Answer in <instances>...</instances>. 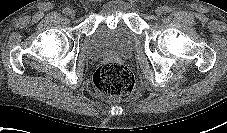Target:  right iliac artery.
Segmentation results:
<instances>
[{
  "label": "right iliac artery",
  "instance_id": "1",
  "mask_svg": "<svg viewBox=\"0 0 227 133\" xmlns=\"http://www.w3.org/2000/svg\"><path fill=\"white\" fill-rule=\"evenodd\" d=\"M69 12H70V8H69V7H66V8L63 10V13H64L65 15H68Z\"/></svg>",
  "mask_w": 227,
  "mask_h": 133
}]
</instances>
